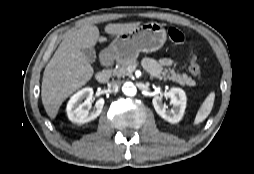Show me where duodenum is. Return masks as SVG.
<instances>
[{
  "label": "duodenum",
  "mask_w": 254,
  "mask_h": 174,
  "mask_svg": "<svg viewBox=\"0 0 254 174\" xmlns=\"http://www.w3.org/2000/svg\"><path fill=\"white\" fill-rule=\"evenodd\" d=\"M101 63L104 67H109L112 64V58L110 55L105 54L102 58H101ZM95 79L99 82V83H106L109 80V74L107 71L105 70H101L99 72L96 73L95 75Z\"/></svg>",
  "instance_id": "obj_1"
}]
</instances>
